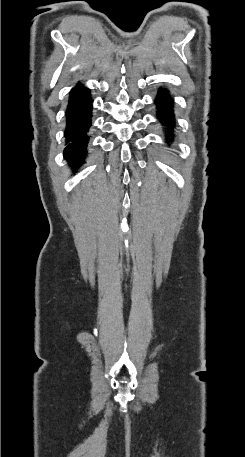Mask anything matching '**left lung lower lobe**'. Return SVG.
<instances>
[{
	"label": "left lung lower lobe",
	"mask_w": 245,
	"mask_h": 457,
	"mask_svg": "<svg viewBox=\"0 0 245 457\" xmlns=\"http://www.w3.org/2000/svg\"><path fill=\"white\" fill-rule=\"evenodd\" d=\"M157 108L156 117L163 127L166 142L168 145L175 140V113L174 100L169 94V91L160 87L155 99Z\"/></svg>",
	"instance_id": "left-lung-lower-lobe-1"
}]
</instances>
